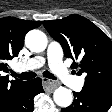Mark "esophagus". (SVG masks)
<instances>
[{
  "instance_id": "34e87169",
  "label": "esophagus",
  "mask_w": 112,
  "mask_h": 112,
  "mask_svg": "<svg viewBox=\"0 0 112 112\" xmlns=\"http://www.w3.org/2000/svg\"><path fill=\"white\" fill-rule=\"evenodd\" d=\"M44 88L48 92H53L58 86L59 83L47 78H43Z\"/></svg>"
}]
</instances>
